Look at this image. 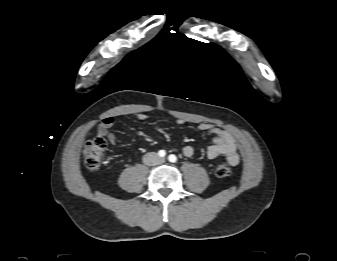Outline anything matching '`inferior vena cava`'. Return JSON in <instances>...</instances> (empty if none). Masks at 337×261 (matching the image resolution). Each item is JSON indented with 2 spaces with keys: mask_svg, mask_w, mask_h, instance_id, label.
<instances>
[{
  "mask_svg": "<svg viewBox=\"0 0 337 261\" xmlns=\"http://www.w3.org/2000/svg\"><path fill=\"white\" fill-rule=\"evenodd\" d=\"M163 161H164L163 158L159 157L154 152H149V153L145 154L144 157H143V163L148 165V166L159 165Z\"/></svg>",
  "mask_w": 337,
  "mask_h": 261,
  "instance_id": "602c4592",
  "label": "inferior vena cava"
}]
</instances>
